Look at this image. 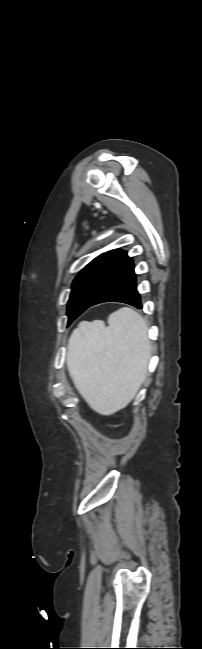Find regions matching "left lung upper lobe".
<instances>
[{"label":"left lung upper lobe","mask_w":202,"mask_h":649,"mask_svg":"<svg viewBox=\"0 0 202 649\" xmlns=\"http://www.w3.org/2000/svg\"><path fill=\"white\" fill-rule=\"evenodd\" d=\"M128 258L123 250H111L96 257L75 278L68 301V324L92 301Z\"/></svg>","instance_id":"5c2ea615"}]
</instances>
